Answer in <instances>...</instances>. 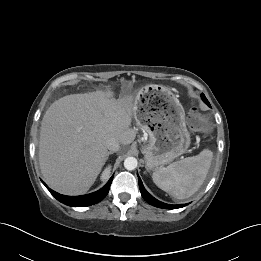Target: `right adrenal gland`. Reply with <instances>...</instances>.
<instances>
[{"instance_id":"1","label":"right adrenal gland","mask_w":261,"mask_h":261,"mask_svg":"<svg viewBox=\"0 0 261 261\" xmlns=\"http://www.w3.org/2000/svg\"><path fill=\"white\" fill-rule=\"evenodd\" d=\"M111 154H113V152H108L106 159H108Z\"/></svg>"}]
</instances>
